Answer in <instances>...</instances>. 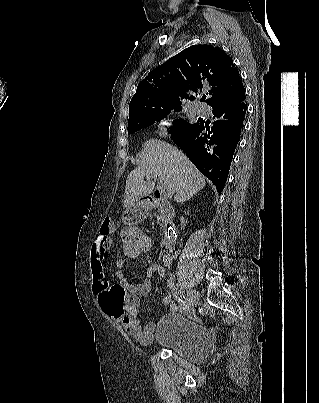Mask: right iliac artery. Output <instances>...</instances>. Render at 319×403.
<instances>
[{"label":"right iliac artery","mask_w":319,"mask_h":403,"mask_svg":"<svg viewBox=\"0 0 319 403\" xmlns=\"http://www.w3.org/2000/svg\"><path fill=\"white\" fill-rule=\"evenodd\" d=\"M168 285L172 292L174 293V296L178 298L179 301H181L183 304H186L187 299L185 296L178 290V288L175 286V284L172 282V280H168Z\"/></svg>","instance_id":"1"}]
</instances>
